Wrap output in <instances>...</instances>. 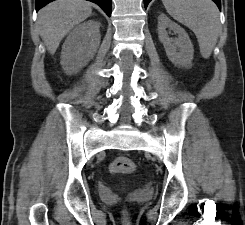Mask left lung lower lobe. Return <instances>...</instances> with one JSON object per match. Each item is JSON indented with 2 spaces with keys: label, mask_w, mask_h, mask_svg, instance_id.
<instances>
[{
  "label": "left lung lower lobe",
  "mask_w": 245,
  "mask_h": 225,
  "mask_svg": "<svg viewBox=\"0 0 245 225\" xmlns=\"http://www.w3.org/2000/svg\"><path fill=\"white\" fill-rule=\"evenodd\" d=\"M150 1L151 0H144V6H145V8L147 7V5L149 4ZM213 1L217 4L218 8L221 9V2H220V0H213Z\"/></svg>",
  "instance_id": "0a47b994"
}]
</instances>
